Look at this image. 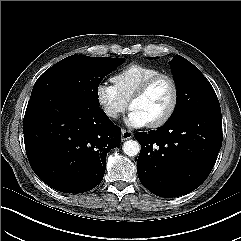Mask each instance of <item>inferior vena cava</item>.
Masks as SVG:
<instances>
[{
    "label": "inferior vena cava",
    "mask_w": 241,
    "mask_h": 241,
    "mask_svg": "<svg viewBox=\"0 0 241 241\" xmlns=\"http://www.w3.org/2000/svg\"><path fill=\"white\" fill-rule=\"evenodd\" d=\"M107 115L113 118L117 117V113L114 110H108Z\"/></svg>",
    "instance_id": "1"
}]
</instances>
